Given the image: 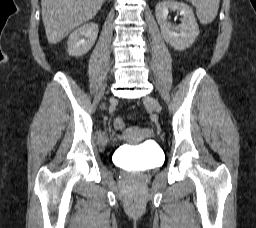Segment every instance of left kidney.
<instances>
[{
    "label": "left kidney",
    "instance_id": "5707ae66",
    "mask_svg": "<svg viewBox=\"0 0 256 228\" xmlns=\"http://www.w3.org/2000/svg\"><path fill=\"white\" fill-rule=\"evenodd\" d=\"M170 11H178L183 16L182 23L179 26L172 27L168 22ZM155 15L161 27L163 39L177 50H185L190 47L199 35V28L193 10L182 2H159L155 8Z\"/></svg>",
    "mask_w": 256,
    "mask_h": 228
}]
</instances>
